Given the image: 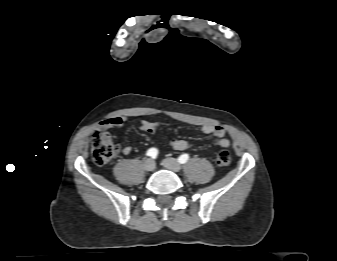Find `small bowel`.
Segmentation results:
<instances>
[{
	"label": "small bowel",
	"mask_w": 337,
	"mask_h": 261,
	"mask_svg": "<svg viewBox=\"0 0 337 261\" xmlns=\"http://www.w3.org/2000/svg\"><path fill=\"white\" fill-rule=\"evenodd\" d=\"M123 118L115 116L100 122L99 127L101 129L117 128L123 125ZM168 127L166 124L151 122L142 120L138 124V129L147 133H156L160 129ZM201 131L204 134L211 135L213 137V143L222 148L230 147V140L226 137V130L223 126L214 124H205L201 127ZM171 145L175 150L183 151L191 147L190 142L184 139H173ZM132 151L131 145H125L121 148L123 154H129Z\"/></svg>",
	"instance_id": "obj_1"
}]
</instances>
